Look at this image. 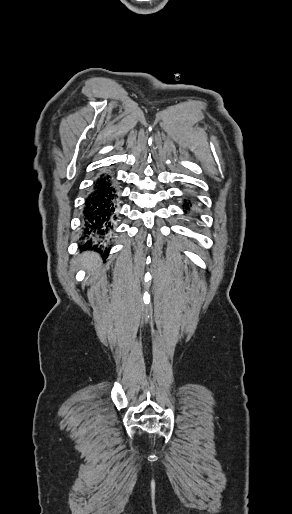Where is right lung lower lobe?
I'll list each match as a JSON object with an SVG mask.
<instances>
[{
	"label": "right lung lower lobe",
	"instance_id": "98d812e1",
	"mask_svg": "<svg viewBox=\"0 0 292 514\" xmlns=\"http://www.w3.org/2000/svg\"><path fill=\"white\" fill-rule=\"evenodd\" d=\"M115 180L112 175L103 174L94 183L93 188L85 200L84 236L87 242L82 249H94L95 243L103 239L112 228L116 218L118 194ZM109 251L105 252L107 256Z\"/></svg>",
	"mask_w": 292,
	"mask_h": 514
}]
</instances>
